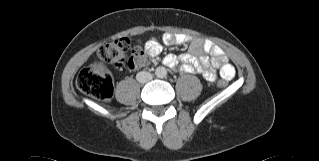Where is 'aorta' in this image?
I'll return each instance as SVG.
<instances>
[{
	"label": "aorta",
	"mask_w": 319,
	"mask_h": 161,
	"mask_svg": "<svg viewBox=\"0 0 319 161\" xmlns=\"http://www.w3.org/2000/svg\"><path fill=\"white\" fill-rule=\"evenodd\" d=\"M155 75L158 77V78H164L166 77L167 75V70L165 67L163 66H159L156 68L155 70Z\"/></svg>",
	"instance_id": "1"
}]
</instances>
